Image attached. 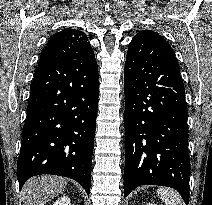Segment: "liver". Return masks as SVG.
I'll return each instance as SVG.
<instances>
[{"label":"liver","mask_w":212,"mask_h":205,"mask_svg":"<svg viewBox=\"0 0 212 205\" xmlns=\"http://www.w3.org/2000/svg\"><path fill=\"white\" fill-rule=\"evenodd\" d=\"M67 180L57 176H38L28 180L22 191L24 205H45L61 194Z\"/></svg>","instance_id":"1"}]
</instances>
